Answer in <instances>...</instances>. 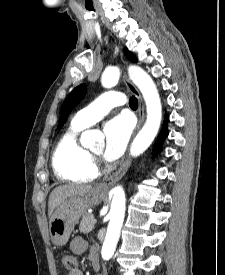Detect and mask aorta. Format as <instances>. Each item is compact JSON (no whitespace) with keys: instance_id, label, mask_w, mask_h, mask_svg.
Wrapping results in <instances>:
<instances>
[{"instance_id":"762f6f07","label":"aorta","mask_w":225,"mask_h":275,"mask_svg":"<svg viewBox=\"0 0 225 275\" xmlns=\"http://www.w3.org/2000/svg\"><path fill=\"white\" fill-rule=\"evenodd\" d=\"M128 74L132 82L141 91L147 110L146 122L134 138L130 148V154L133 157H137L151 145L159 131L162 119V106L156 85L142 68L129 66ZM119 77L120 70L118 67L107 68L101 77L102 86L105 88L115 86L118 83ZM96 140L97 137L92 131L82 133L81 143L84 147L92 146ZM125 206V192L121 186H116L113 188V198L108 214L109 224L101 251L104 260H109L115 252L124 221Z\"/></svg>"}]
</instances>
